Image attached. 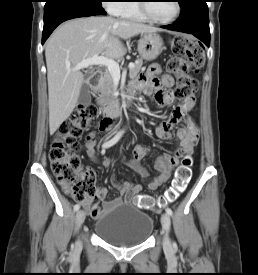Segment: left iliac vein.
Here are the masks:
<instances>
[{
  "mask_svg": "<svg viewBox=\"0 0 258 275\" xmlns=\"http://www.w3.org/2000/svg\"><path fill=\"white\" fill-rule=\"evenodd\" d=\"M161 223H162V226H163V229H164V249L165 250H170L171 243H170V240H169V230H170L171 220H170V217L167 213L162 214Z\"/></svg>",
  "mask_w": 258,
  "mask_h": 275,
  "instance_id": "obj_1",
  "label": "left iliac vein"
}]
</instances>
